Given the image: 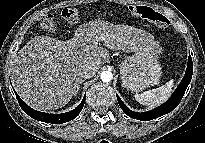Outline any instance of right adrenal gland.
<instances>
[{
	"instance_id": "1",
	"label": "right adrenal gland",
	"mask_w": 205,
	"mask_h": 143,
	"mask_svg": "<svg viewBox=\"0 0 205 143\" xmlns=\"http://www.w3.org/2000/svg\"><path fill=\"white\" fill-rule=\"evenodd\" d=\"M84 82V80H81L80 81V84H82ZM80 88V87H79ZM79 88H78V90H79ZM78 90L76 91V93H75V96H76V94L78 93Z\"/></svg>"
}]
</instances>
